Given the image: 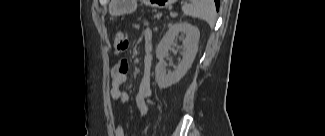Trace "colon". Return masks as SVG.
Wrapping results in <instances>:
<instances>
[{"mask_svg": "<svg viewBox=\"0 0 325 136\" xmlns=\"http://www.w3.org/2000/svg\"><path fill=\"white\" fill-rule=\"evenodd\" d=\"M128 42L126 36L122 32H117L113 40V50L116 54L124 52L127 48Z\"/></svg>", "mask_w": 325, "mask_h": 136, "instance_id": "5ec220e1", "label": "colon"}]
</instances>
